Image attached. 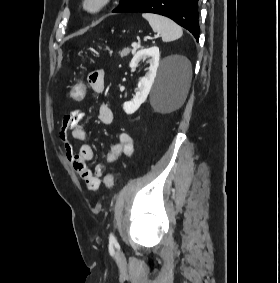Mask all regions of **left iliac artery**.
Returning <instances> with one entry per match:
<instances>
[{
    "label": "left iliac artery",
    "mask_w": 280,
    "mask_h": 283,
    "mask_svg": "<svg viewBox=\"0 0 280 283\" xmlns=\"http://www.w3.org/2000/svg\"><path fill=\"white\" fill-rule=\"evenodd\" d=\"M109 241H110V243H116V239H115V237L112 233L109 236Z\"/></svg>",
    "instance_id": "obj_1"
}]
</instances>
